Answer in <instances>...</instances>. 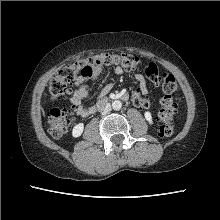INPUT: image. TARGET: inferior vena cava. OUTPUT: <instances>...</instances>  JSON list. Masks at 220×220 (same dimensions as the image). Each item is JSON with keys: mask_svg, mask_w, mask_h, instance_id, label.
<instances>
[{"mask_svg": "<svg viewBox=\"0 0 220 220\" xmlns=\"http://www.w3.org/2000/svg\"><path fill=\"white\" fill-rule=\"evenodd\" d=\"M99 109L101 110L102 114H107L111 111V106L109 103H107L104 107H100Z\"/></svg>", "mask_w": 220, "mask_h": 220, "instance_id": "1", "label": "inferior vena cava"}]
</instances>
